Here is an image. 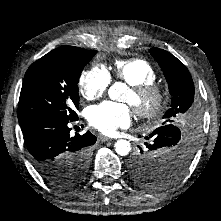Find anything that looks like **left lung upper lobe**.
I'll list each match as a JSON object with an SVG mask.
<instances>
[{
	"mask_svg": "<svg viewBox=\"0 0 221 221\" xmlns=\"http://www.w3.org/2000/svg\"><path fill=\"white\" fill-rule=\"evenodd\" d=\"M150 53L162 68L172 95V104L163 116L165 122L162 126L146 137L150 143H145L147 148H140L137 153L141 165L136 170H130V174L137 185L159 189L176 181L189 164L191 149L185 143H180V130L172 122L183 114L192 119L194 84L186 66L171 53L159 48H151Z\"/></svg>",
	"mask_w": 221,
	"mask_h": 221,
	"instance_id": "1",
	"label": "left lung upper lobe"
}]
</instances>
